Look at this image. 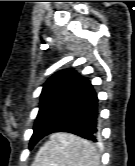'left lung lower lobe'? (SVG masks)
Returning <instances> with one entry per match:
<instances>
[{"label":"left lung lower lobe","mask_w":135,"mask_h":166,"mask_svg":"<svg viewBox=\"0 0 135 166\" xmlns=\"http://www.w3.org/2000/svg\"><path fill=\"white\" fill-rule=\"evenodd\" d=\"M56 109L34 130L29 148L43 137L55 132H69L97 142L99 136L98 97L87 78L80 77Z\"/></svg>","instance_id":"1"}]
</instances>
